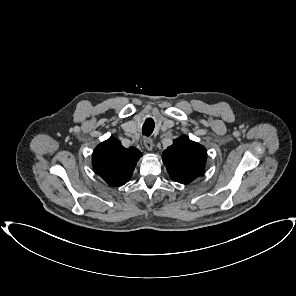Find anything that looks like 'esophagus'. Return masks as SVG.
Wrapping results in <instances>:
<instances>
[{
  "label": "esophagus",
  "instance_id": "esophagus-1",
  "mask_svg": "<svg viewBox=\"0 0 296 296\" xmlns=\"http://www.w3.org/2000/svg\"><path fill=\"white\" fill-rule=\"evenodd\" d=\"M144 146L148 151H151L153 149V141L150 138L144 139Z\"/></svg>",
  "mask_w": 296,
  "mask_h": 296
}]
</instances>
